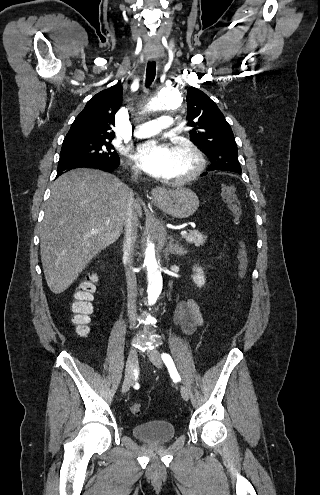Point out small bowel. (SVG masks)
<instances>
[{
    "instance_id": "small-bowel-1",
    "label": "small bowel",
    "mask_w": 320,
    "mask_h": 495,
    "mask_svg": "<svg viewBox=\"0 0 320 495\" xmlns=\"http://www.w3.org/2000/svg\"><path fill=\"white\" fill-rule=\"evenodd\" d=\"M174 319L187 335H193L201 327L207 325V321L200 311L199 304L192 298L181 301L174 312Z\"/></svg>"
}]
</instances>
